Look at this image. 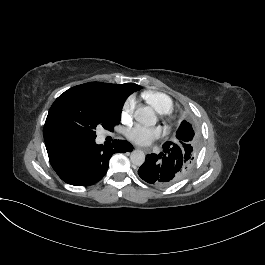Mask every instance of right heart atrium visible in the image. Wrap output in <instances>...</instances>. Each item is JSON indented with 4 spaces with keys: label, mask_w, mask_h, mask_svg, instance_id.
I'll use <instances>...</instances> for the list:
<instances>
[{
    "label": "right heart atrium",
    "mask_w": 265,
    "mask_h": 265,
    "mask_svg": "<svg viewBox=\"0 0 265 265\" xmlns=\"http://www.w3.org/2000/svg\"><path fill=\"white\" fill-rule=\"evenodd\" d=\"M136 108V100L134 97L128 98L123 108V117L128 118L131 117Z\"/></svg>",
    "instance_id": "obj_1"
}]
</instances>
